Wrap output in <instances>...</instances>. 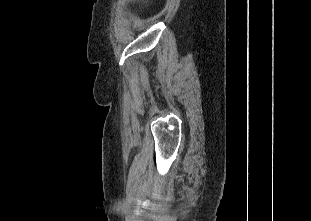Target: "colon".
<instances>
[{
	"mask_svg": "<svg viewBox=\"0 0 311 221\" xmlns=\"http://www.w3.org/2000/svg\"><path fill=\"white\" fill-rule=\"evenodd\" d=\"M126 5L129 7L131 4L128 2Z\"/></svg>",
	"mask_w": 311,
	"mask_h": 221,
	"instance_id": "colon-1",
	"label": "colon"
}]
</instances>
